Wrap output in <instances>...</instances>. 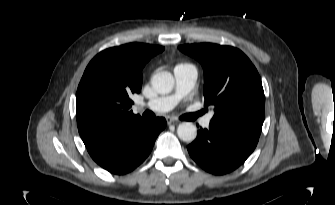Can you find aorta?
I'll return each instance as SVG.
<instances>
[{
    "mask_svg": "<svg viewBox=\"0 0 335 205\" xmlns=\"http://www.w3.org/2000/svg\"><path fill=\"white\" fill-rule=\"evenodd\" d=\"M151 84L157 93L167 94L172 91L175 80L170 72L162 71L152 77ZM177 135L182 141L191 142L197 136V128L191 122H183L177 128Z\"/></svg>",
    "mask_w": 335,
    "mask_h": 205,
    "instance_id": "aorta-1",
    "label": "aorta"
}]
</instances>
